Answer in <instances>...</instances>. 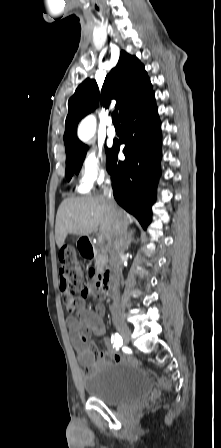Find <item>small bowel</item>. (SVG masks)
Here are the masks:
<instances>
[{"label": "small bowel", "instance_id": "obj_1", "mask_svg": "<svg viewBox=\"0 0 221 448\" xmlns=\"http://www.w3.org/2000/svg\"><path fill=\"white\" fill-rule=\"evenodd\" d=\"M95 295L103 298L100 290V281H94L88 287H85L84 293L79 298L67 296L65 308L68 312L66 318L69 330V339L78 353V361L85 373H91L100 368L105 362L115 361L124 362L123 356L117 354L106 341V348L97 351L92 343L88 341L90 333L103 337L105 334V325L103 316L106 312L104 304H98L96 310L86 307V298Z\"/></svg>", "mask_w": 221, "mask_h": 448}]
</instances>
